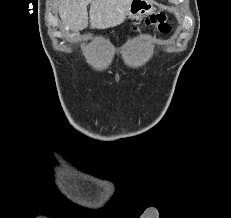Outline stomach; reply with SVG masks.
Wrapping results in <instances>:
<instances>
[{
    "mask_svg": "<svg viewBox=\"0 0 231 218\" xmlns=\"http://www.w3.org/2000/svg\"><path fill=\"white\" fill-rule=\"evenodd\" d=\"M154 11L153 0H132L126 12L131 19H138Z\"/></svg>",
    "mask_w": 231,
    "mask_h": 218,
    "instance_id": "0dacf381",
    "label": "stomach"
}]
</instances>
